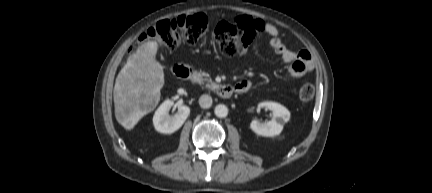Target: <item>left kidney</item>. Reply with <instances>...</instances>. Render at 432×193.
Returning a JSON list of instances; mask_svg holds the SVG:
<instances>
[{"instance_id":"obj_1","label":"left kidney","mask_w":432,"mask_h":193,"mask_svg":"<svg viewBox=\"0 0 432 193\" xmlns=\"http://www.w3.org/2000/svg\"><path fill=\"white\" fill-rule=\"evenodd\" d=\"M258 107L271 110L273 117L272 120L265 123H260L257 120H253L250 124L251 130L257 135L265 137L279 135L283 130L284 124L290 119L289 110L283 105L271 101L261 102L259 103Z\"/></svg>"}]
</instances>
